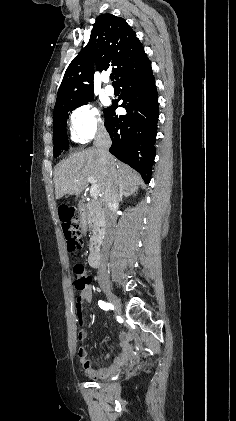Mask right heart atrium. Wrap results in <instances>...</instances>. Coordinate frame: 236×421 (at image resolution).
Returning a JSON list of instances; mask_svg holds the SVG:
<instances>
[{"label":"right heart atrium","mask_w":236,"mask_h":421,"mask_svg":"<svg viewBox=\"0 0 236 421\" xmlns=\"http://www.w3.org/2000/svg\"><path fill=\"white\" fill-rule=\"evenodd\" d=\"M70 131L74 142L86 144L105 131L100 109L93 103L78 107L70 116Z\"/></svg>","instance_id":"right-heart-atrium-1"}]
</instances>
